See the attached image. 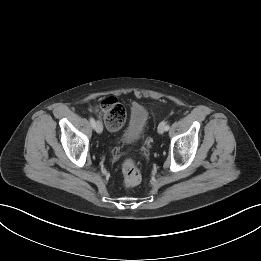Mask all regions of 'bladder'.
<instances>
[{
  "label": "bladder",
  "instance_id": "31cf9c89",
  "mask_svg": "<svg viewBox=\"0 0 261 261\" xmlns=\"http://www.w3.org/2000/svg\"><path fill=\"white\" fill-rule=\"evenodd\" d=\"M148 111L140 104H134L130 109L128 123L121 140L125 144H134L142 139L148 124Z\"/></svg>",
  "mask_w": 261,
  "mask_h": 261
}]
</instances>
